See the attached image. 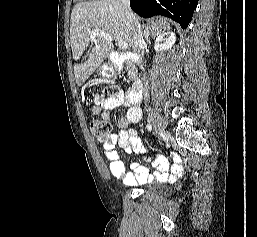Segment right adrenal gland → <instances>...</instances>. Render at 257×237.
<instances>
[{"label":"right adrenal gland","mask_w":257,"mask_h":237,"mask_svg":"<svg viewBox=\"0 0 257 237\" xmlns=\"http://www.w3.org/2000/svg\"><path fill=\"white\" fill-rule=\"evenodd\" d=\"M154 38L155 34H145V40L149 44L150 43V38Z\"/></svg>","instance_id":"right-adrenal-gland-1"}]
</instances>
